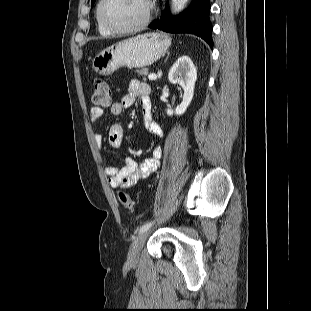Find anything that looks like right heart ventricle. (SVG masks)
<instances>
[{
  "label": "right heart ventricle",
  "mask_w": 311,
  "mask_h": 311,
  "mask_svg": "<svg viewBox=\"0 0 311 311\" xmlns=\"http://www.w3.org/2000/svg\"><path fill=\"white\" fill-rule=\"evenodd\" d=\"M96 23H97V31L99 34L103 36H107L111 34V32L100 23V21L97 18V14H96Z\"/></svg>",
  "instance_id": "obj_1"
}]
</instances>
